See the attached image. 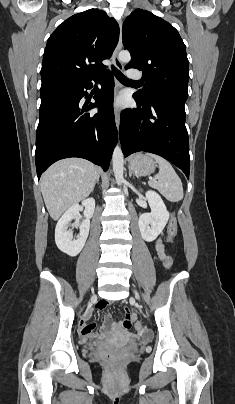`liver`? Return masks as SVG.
<instances>
[{"label": "liver", "instance_id": "liver-1", "mask_svg": "<svg viewBox=\"0 0 235 404\" xmlns=\"http://www.w3.org/2000/svg\"><path fill=\"white\" fill-rule=\"evenodd\" d=\"M98 168L88 160L67 158L50 166L41 177V192L53 220L93 191Z\"/></svg>", "mask_w": 235, "mask_h": 404}]
</instances>
